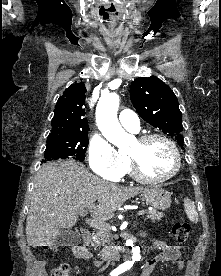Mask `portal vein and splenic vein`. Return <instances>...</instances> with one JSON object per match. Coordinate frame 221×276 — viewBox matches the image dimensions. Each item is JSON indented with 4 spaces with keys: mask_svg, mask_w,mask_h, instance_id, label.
Segmentation results:
<instances>
[{
    "mask_svg": "<svg viewBox=\"0 0 221 276\" xmlns=\"http://www.w3.org/2000/svg\"><path fill=\"white\" fill-rule=\"evenodd\" d=\"M87 214V211H82L80 213V216L84 217L85 215ZM145 214V211L144 210H140L137 212V215H144ZM88 224H90L91 226L93 227H102V226H106L105 224L103 223H96L94 222L93 220H87Z\"/></svg>",
    "mask_w": 221,
    "mask_h": 276,
    "instance_id": "1",
    "label": "portal vein and splenic vein"
}]
</instances>
